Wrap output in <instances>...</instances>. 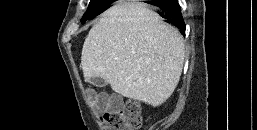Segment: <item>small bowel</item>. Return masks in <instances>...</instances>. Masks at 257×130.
Returning a JSON list of instances; mask_svg holds the SVG:
<instances>
[{
	"instance_id": "obj_1",
	"label": "small bowel",
	"mask_w": 257,
	"mask_h": 130,
	"mask_svg": "<svg viewBox=\"0 0 257 130\" xmlns=\"http://www.w3.org/2000/svg\"><path fill=\"white\" fill-rule=\"evenodd\" d=\"M89 99L92 105L99 111H107L120 105L121 99L117 95L91 92Z\"/></svg>"
}]
</instances>
